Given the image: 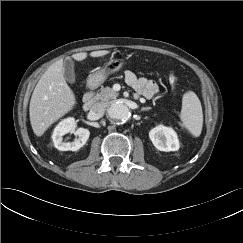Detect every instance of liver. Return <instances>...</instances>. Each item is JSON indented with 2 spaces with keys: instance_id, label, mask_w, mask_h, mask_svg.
Masks as SVG:
<instances>
[{
  "instance_id": "1",
  "label": "liver",
  "mask_w": 243,
  "mask_h": 243,
  "mask_svg": "<svg viewBox=\"0 0 243 243\" xmlns=\"http://www.w3.org/2000/svg\"><path fill=\"white\" fill-rule=\"evenodd\" d=\"M108 53L107 50L93 51L90 56L102 57ZM86 57L85 52L72 55L77 61H82ZM63 63L61 59L50 65L32 93L29 116L36 136H42L54 122L72 110L76 104L75 95L63 75Z\"/></svg>"
}]
</instances>
